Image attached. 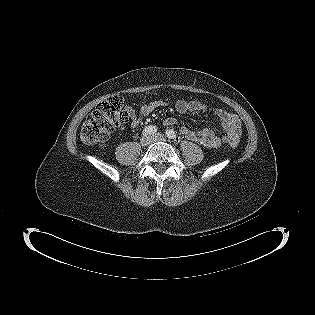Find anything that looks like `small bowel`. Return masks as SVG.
I'll return each instance as SVG.
<instances>
[{"mask_svg": "<svg viewBox=\"0 0 315 315\" xmlns=\"http://www.w3.org/2000/svg\"><path fill=\"white\" fill-rule=\"evenodd\" d=\"M169 105L168 101L155 100L149 103L143 104L139 112L137 113L131 106H126V110L131 119V126L137 128L142 120L152 113L154 110L166 107ZM175 108L179 113L187 112H212L219 120L221 127L224 131V135H219L210 128H204L202 130H193L186 126L180 128V132L186 138L199 143L206 148H216L222 142H238L241 135V120L240 118L221 108H211L204 103L196 100L180 99L175 103ZM177 123L176 118L168 117L164 120L166 126H172Z\"/></svg>", "mask_w": 315, "mask_h": 315, "instance_id": "1", "label": "small bowel"}]
</instances>
